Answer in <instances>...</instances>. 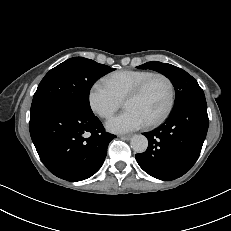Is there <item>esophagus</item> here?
Here are the masks:
<instances>
[{
  "mask_svg": "<svg viewBox=\"0 0 231 231\" xmlns=\"http://www.w3.org/2000/svg\"><path fill=\"white\" fill-rule=\"evenodd\" d=\"M132 137V135H121V138L129 140Z\"/></svg>",
  "mask_w": 231,
  "mask_h": 231,
  "instance_id": "34e87169",
  "label": "esophagus"
}]
</instances>
